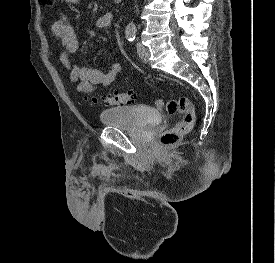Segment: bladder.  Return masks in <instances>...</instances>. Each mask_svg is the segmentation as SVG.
<instances>
[{"label": "bladder", "instance_id": "1", "mask_svg": "<svg viewBox=\"0 0 275 263\" xmlns=\"http://www.w3.org/2000/svg\"><path fill=\"white\" fill-rule=\"evenodd\" d=\"M100 123L108 127L140 130L157 125L161 116L153 107L146 105L119 106L107 109L99 115Z\"/></svg>", "mask_w": 275, "mask_h": 263}]
</instances>
